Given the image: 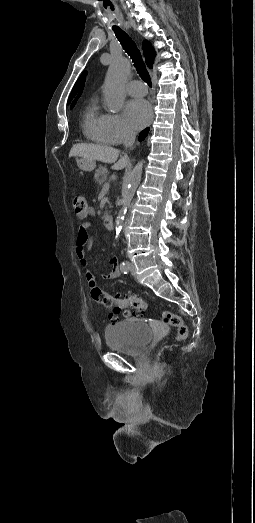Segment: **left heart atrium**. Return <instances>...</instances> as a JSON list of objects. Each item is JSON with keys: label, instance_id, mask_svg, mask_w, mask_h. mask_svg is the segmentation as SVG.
Listing matches in <instances>:
<instances>
[{"label": "left heart atrium", "instance_id": "left-heart-atrium-1", "mask_svg": "<svg viewBox=\"0 0 255 523\" xmlns=\"http://www.w3.org/2000/svg\"><path fill=\"white\" fill-rule=\"evenodd\" d=\"M127 120L132 127L144 126L151 117V107L148 101L142 98L131 100L126 107Z\"/></svg>", "mask_w": 255, "mask_h": 523}]
</instances>
